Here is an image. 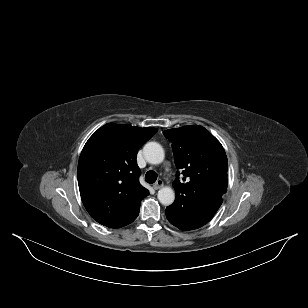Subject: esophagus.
I'll use <instances>...</instances> for the list:
<instances>
[{
  "label": "esophagus",
  "instance_id": "obj_1",
  "mask_svg": "<svg viewBox=\"0 0 308 308\" xmlns=\"http://www.w3.org/2000/svg\"><path fill=\"white\" fill-rule=\"evenodd\" d=\"M162 186H163V181H162V180H158V181L153 185V188H154L155 190H158V189H160Z\"/></svg>",
  "mask_w": 308,
  "mask_h": 308
}]
</instances>
